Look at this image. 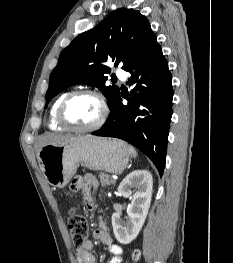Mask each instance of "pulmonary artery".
Wrapping results in <instances>:
<instances>
[{
	"label": "pulmonary artery",
	"instance_id": "obj_1",
	"mask_svg": "<svg viewBox=\"0 0 233 263\" xmlns=\"http://www.w3.org/2000/svg\"><path fill=\"white\" fill-rule=\"evenodd\" d=\"M116 75L123 81L126 80V78H127V73L121 68L117 69Z\"/></svg>",
	"mask_w": 233,
	"mask_h": 263
}]
</instances>
